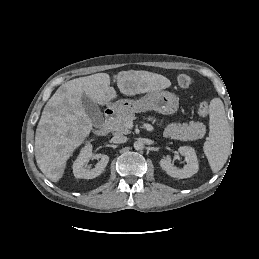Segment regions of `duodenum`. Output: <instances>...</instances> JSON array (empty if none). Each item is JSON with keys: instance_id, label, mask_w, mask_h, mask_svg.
<instances>
[{"instance_id": "duodenum-1", "label": "duodenum", "mask_w": 259, "mask_h": 259, "mask_svg": "<svg viewBox=\"0 0 259 259\" xmlns=\"http://www.w3.org/2000/svg\"><path fill=\"white\" fill-rule=\"evenodd\" d=\"M116 110L114 108L106 109L104 113V122L95 129V133L100 136H104L109 132V124L115 117Z\"/></svg>"}]
</instances>
